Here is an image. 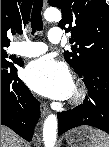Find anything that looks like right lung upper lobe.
<instances>
[{"label": "right lung upper lobe", "instance_id": "1", "mask_svg": "<svg viewBox=\"0 0 109 147\" xmlns=\"http://www.w3.org/2000/svg\"><path fill=\"white\" fill-rule=\"evenodd\" d=\"M32 0H1V48L9 46L7 33L20 32L26 26Z\"/></svg>", "mask_w": 109, "mask_h": 147}]
</instances>
